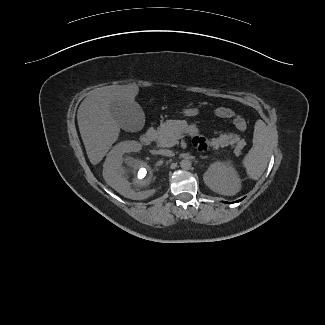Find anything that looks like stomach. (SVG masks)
Instances as JSON below:
<instances>
[{"instance_id":"stomach-1","label":"stomach","mask_w":325,"mask_h":325,"mask_svg":"<svg viewBox=\"0 0 325 325\" xmlns=\"http://www.w3.org/2000/svg\"><path fill=\"white\" fill-rule=\"evenodd\" d=\"M184 114L186 116H194L198 114V109H185Z\"/></svg>"}]
</instances>
